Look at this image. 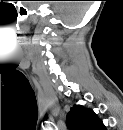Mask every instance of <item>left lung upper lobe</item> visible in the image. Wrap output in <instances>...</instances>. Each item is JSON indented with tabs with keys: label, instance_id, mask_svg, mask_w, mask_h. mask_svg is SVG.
Segmentation results:
<instances>
[{
	"label": "left lung upper lobe",
	"instance_id": "left-lung-upper-lobe-1",
	"mask_svg": "<svg viewBox=\"0 0 123 130\" xmlns=\"http://www.w3.org/2000/svg\"><path fill=\"white\" fill-rule=\"evenodd\" d=\"M66 125L72 130H104L105 126L96 114L83 106L74 105L67 115Z\"/></svg>",
	"mask_w": 123,
	"mask_h": 130
}]
</instances>
